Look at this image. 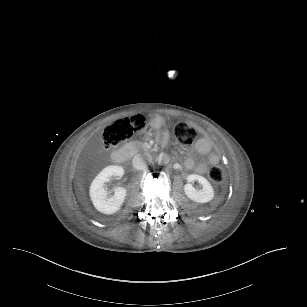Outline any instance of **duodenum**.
<instances>
[{
	"mask_svg": "<svg viewBox=\"0 0 307 307\" xmlns=\"http://www.w3.org/2000/svg\"><path fill=\"white\" fill-rule=\"evenodd\" d=\"M111 157H112L113 162H115L116 164H124L127 160L128 153L126 149L119 148L112 152Z\"/></svg>",
	"mask_w": 307,
	"mask_h": 307,
	"instance_id": "410a0bca",
	"label": "duodenum"
}]
</instances>
